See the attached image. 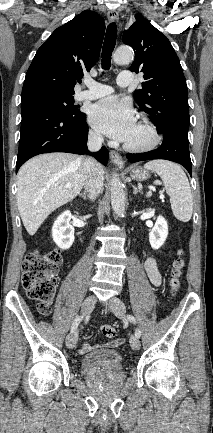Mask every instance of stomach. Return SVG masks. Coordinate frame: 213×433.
I'll use <instances>...</instances> for the list:
<instances>
[{"label":"stomach","mask_w":213,"mask_h":433,"mask_svg":"<svg viewBox=\"0 0 213 433\" xmlns=\"http://www.w3.org/2000/svg\"><path fill=\"white\" fill-rule=\"evenodd\" d=\"M129 171H130V176L133 179H136L139 181L146 180L147 177L149 176V173L146 170H144L143 168L138 167V166H132L129 169Z\"/></svg>","instance_id":"0dacf381"}]
</instances>
